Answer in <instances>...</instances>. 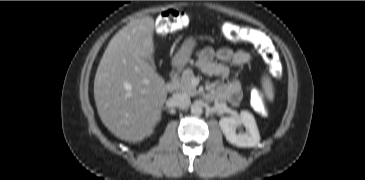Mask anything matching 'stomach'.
Wrapping results in <instances>:
<instances>
[{
	"instance_id": "1",
	"label": "stomach",
	"mask_w": 365,
	"mask_h": 180,
	"mask_svg": "<svg viewBox=\"0 0 365 180\" xmlns=\"http://www.w3.org/2000/svg\"><path fill=\"white\" fill-rule=\"evenodd\" d=\"M196 46L197 40L194 37L186 38L181 48L173 56L172 65L176 68H183L187 65Z\"/></svg>"
}]
</instances>
